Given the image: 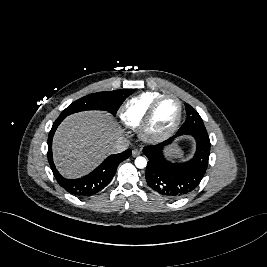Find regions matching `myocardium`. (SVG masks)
<instances>
[{
    "mask_svg": "<svg viewBox=\"0 0 267 267\" xmlns=\"http://www.w3.org/2000/svg\"><path fill=\"white\" fill-rule=\"evenodd\" d=\"M167 98H173L176 100L178 104V115L173 126L168 131L161 133V134H155L150 131V124H151V121L153 119V116L155 114L157 107L163 100ZM182 116H183V104H182L181 99L174 94H162L150 104V106L148 107L140 123L139 132H140L141 138L150 143H159V142H163L169 139L178 130L181 124Z\"/></svg>",
    "mask_w": 267,
    "mask_h": 267,
    "instance_id": "obj_1",
    "label": "myocardium"
}]
</instances>
